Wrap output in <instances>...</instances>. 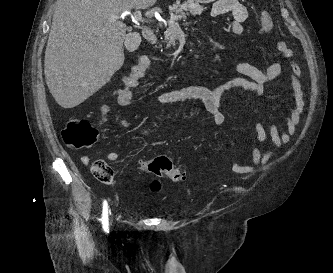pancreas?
Masks as SVG:
<instances>
[{"label":"pancreas","mask_w":333,"mask_h":273,"mask_svg":"<svg viewBox=\"0 0 333 273\" xmlns=\"http://www.w3.org/2000/svg\"><path fill=\"white\" fill-rule=\"evenodd\" d=\"M205 8L198 3L194 2L193 0H188L182 4H175L172 7L171 13V21L168 22V29L164 33L165 41L167 42V47L171 45H175L176 40L178 39L181 29L179 24L176 22L177 14L185 15V12H189L192 15H200ZM175 13V14H174ZM188 14V13H187Z\"/></svg>","instance_id":"1"}]
</instances>
